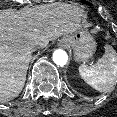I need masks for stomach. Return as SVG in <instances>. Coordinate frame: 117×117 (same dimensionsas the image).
Instances as JSON below:
<instances>
[{
    "instance_id": "stomach-1",
    "label": "stomach",
    "mask_w": 117,
    "mask_h": 117,
    "mask_svg": "<svg viewBox=\"0 0 117 117\" xmlns=\"http://www.w3.org/2000/svg\"><path fill=\"white\" fill-rule=\"evenodd\" d=\"M60 43L74 51L77 61L88 59L96 49V42L87 31H77L66 35L60 40Z\"/></svg>"
}]
</instances>
